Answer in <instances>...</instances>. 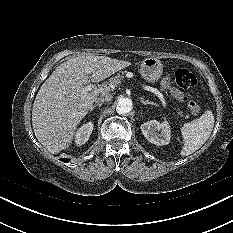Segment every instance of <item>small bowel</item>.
<instances>
[{
	"mask_svg": "<svg viewBox=\"0 0 233 233\" xmlns=\"http://www.w3.org/2000/svg\"><path fill=\"white\" fill-rule=\"evenodd\" d=\"M162 88L167 89L176 100L180 102L185 101V96L183 95V93L178 89L174 88L173 86H171L167 79H164L162 81Z\"/></svg>",
	"mask_w": 233,
	"mask_h": 233,
	"instance_id": "1",
	"label": "small bowel"
}]
</instances>
